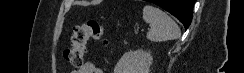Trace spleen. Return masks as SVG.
Returning <instances> with one entry per match:
<instances>
[{"label":"spleen","mask_w":244,"mask_h":73,"mask_svg":"<svg viewBox=\"0 0 244 73\" xmlns=\"http://www.w3.org/2000/svg\"><path fill=\"white\" fill-rule=\"evenodd\" d=\"M143 19L151 26L147 38L152 42L174 40L181 35L177 23L159 8L146 5L143 8Z\"/></svg>","instance_id":"1"}]
</instances>
